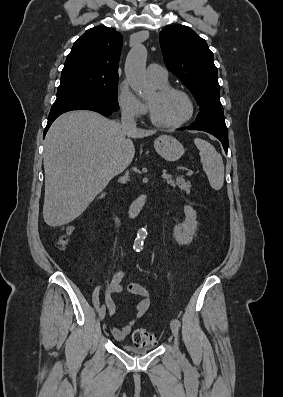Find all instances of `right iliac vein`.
I'll list each match as a JSON object with an SVG mask.
<instances>
[{
	"label": "right iliac vein",
	"mask_w": 283,
	"mask_h": 397,
	"mask_svg": "<svg viewBox=\"0 0 283 397\" xmlns=\"http://www.w3.org/2000/svg\"><path fill=\"white\" fill-rule=\"evenodd\" d=\"M105 314H106V308H105V306L103 305V306L101 307L100 311H99L100 320H103V319H104Z\"/></svg>",
	"instance_id": "1"
}]
</instances>
